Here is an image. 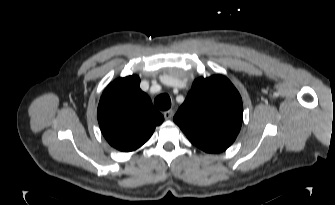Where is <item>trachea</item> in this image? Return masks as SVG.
<instances>
[{
  "label": "trachea",
  "instance_id": "3493384b",
  "mask_svg": "<svg viewBox=\"0 0 335 205\" xmlns=\"http://www.w3.org/2000/svg\"><path fill=\"white\" fill-rule=\"evenodd\" d=\"M154 104L158 109L165 111V110L170 109L171 99L169 95L167 94H160L159 96L155 98Z\"/></svg>",
  "mask_w": 335,
  "mask_h": 205
}]
</instances>
